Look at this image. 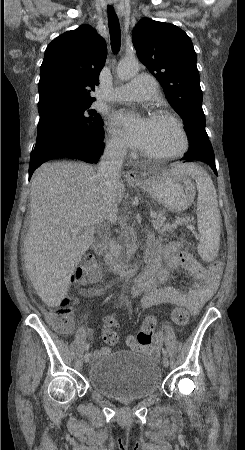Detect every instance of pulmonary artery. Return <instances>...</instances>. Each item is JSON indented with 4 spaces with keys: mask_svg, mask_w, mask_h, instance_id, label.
Wrapping results in <instances>:
<instances>
[{
    "mask_svg": "<svg viewBox=\"0 0 245 450\" xmlns=\"http://www.w3.org/2000/svg\"><path fill=\"white\" fill-rule=\"evenodd\" d=\"M159 94L153 76L141 75L115 88L113 100L118 102L142 101Z\"/></svg>",
    "mask_w": 245,
    "mask_h": 450,
    "instance_id": "1",
    "label": "pulmonary artery"
}]
</instances>
